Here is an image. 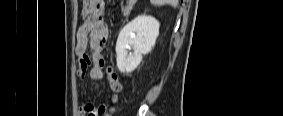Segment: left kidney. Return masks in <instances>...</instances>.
<instances>
[{
    "mask_svg": "<svg viewBox=\"0 0 283 116\" xmlns=\"http://www.w3.org/2000/svg\"><path fill=\"white\" fill-rule=\"evenodd\" d=\"M159 22L151 16L140 15L120 31L116 42L117 67L122 73L134 71L148 54L159 35ZM132 49V52L128 50Z\"/></svg>",
    "mask_w": 283,
    "mask_h": 116,
    "instance_id": "left-kidney-1",
    "label": "left kidney"
}]
</instances>
